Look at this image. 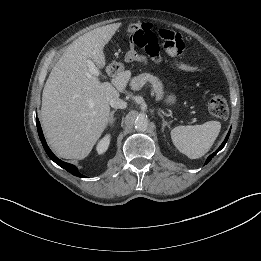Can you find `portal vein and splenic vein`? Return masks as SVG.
Listing matches in <instances>:
<instances>
[{"label": "portal vein and splenic vein", "mask_w": 261, "mask_h": 261, "mask_svg": "<svg viewBox=\"0 0 261 261\" xmlns=\"http://www.w3.org/2000/svg\"><path fill=\"white\" fill-rule=\"evenodd\" d=\"M87 66H88V70L89 72L95 76V77H99V70L97 69V67L95 66L94 62L92 60H87Z\"/></svg>", "instance_id": "obj_1"}]
</instances>
